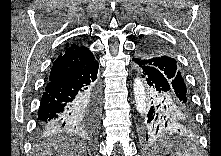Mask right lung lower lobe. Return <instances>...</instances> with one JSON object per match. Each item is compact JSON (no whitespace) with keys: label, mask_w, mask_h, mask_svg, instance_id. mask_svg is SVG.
Returning a JSON list of instances; mask_svg holds the SVG:
<instances>
[{"label":"right lung lower lobe","mask_w":221,"mask_h":156,"mask_svg":"<svg viewBox=\"0 0 221 156\" xmlns=\"http://www.w3.org/2000/svg\"><path fill=\"white\" fill-rule=\"evenodd\" d=\"M98 62L47 83L38 110L39 134L94 128L100 112Z\"/></svg>","instance_id":"obj_1"}]
</instances>
